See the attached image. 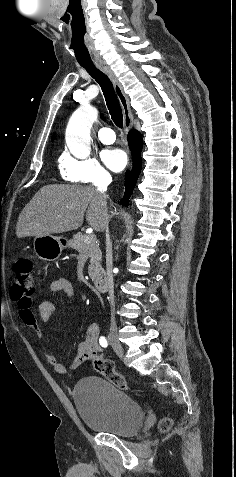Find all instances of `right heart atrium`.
I'll return each instance as SVG.
<instances>
[{
    "label": "right heart atrium",
    "instance_id": "obj_1",
    "mask_svg": "<svg viewBox=\"0 0 236 477\" xmlns=\"http://www.w3.org/2000/svg\"><path fill=\"white\" fill-rule=\"evenodd\" d=\"M60 170L65 180L81 185L102 184L110 179V173L94 158L65 155Z\"/></svg>",
    "mask_w": 236,
    "mask_h": 477
}]
</instances>
